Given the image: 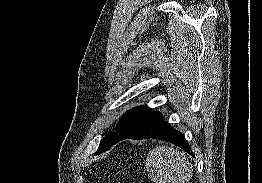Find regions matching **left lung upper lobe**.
Wrapping results in <instances>:
<instances>
[{
  "instance_id": "left-lung-upper-lobe-1",
  "label": "left lung upper lobe",
  "mask_w": 262,
  "mask_h": 183,
  "mask_svg": "<svg viewBox=\"0 0 262 183\" xmlns=\"http://www.w3.org/2000/svg\"><path fill=\"white\" fill-rule=\"evenodd\" d=\"M154 113V111L146 110L144 106L133 108L124 113L116 127V131L106 135L101 140L95 154L97 155L106 151L115 142L137 132Z\"/></svg>"
}]
</instances>
